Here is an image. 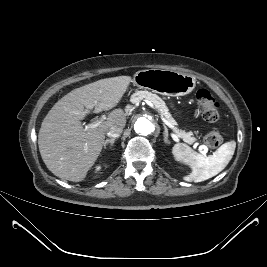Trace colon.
<instances>
[{
    "instance_id": "colon-1",
    "label": "colon",
    "mask_w": 267,
    "mask_h": 267,
    "mask_svg": "<svg viewBox=\"0 0 267 267\" xmlns=\"http://www.w3.org/2000/svg\"><path fill=\"white\" fill-rule=\"evenodd\" d=\"M203 118L208 122H216L220 117V104L207 89H199L196 93ZM205 144L216 148L222 143V136L217 130H210L204 136Z\"/></svg>"
}]
</instances>
